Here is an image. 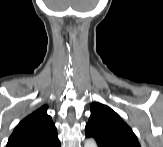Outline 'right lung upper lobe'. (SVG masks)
Returning <instances> with one entry per match:
<instances>
[{
    "mask_svg": "<svg viewBox=\"0 0 163 147\" xmlns=\"http://www.w3.org/2000/svg\"><path fill=\"white\" fill-rule=\"evenodd\" d=\"M44 105L24 118L14 129L7 147L46 145L58 140L57 129Z\"/></svg>",
    "mask_w": 163,
    "mask_h": 147,
    "instance_id": "right-lung-upper-lobe-1",
    "label": "right lung upper lobe"
}]
</instances>
